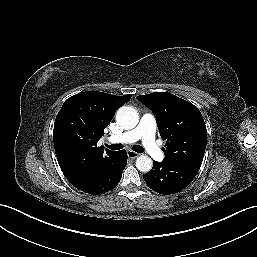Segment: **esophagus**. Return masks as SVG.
Listing matches in <instances>:
<instances>
[{
	"mask_svg": "<svg viewBox=\"0 0 257 257\" xmlns=\"http://www.w3.org/2000/svg\"><path fill=\"white\" fill-rule=\"evenodd\" d=\"M127 155H128V157H129L130 159H135V158H137V157L139 156L138 153H136V152H134V151H132V150H128V151H127Z\"/></svg>",
	"mask_w": 257,
	"mask_h": 257,
	"instance_id": "esophagus-1",
	"label": "esophagus"
}]
</instances>
